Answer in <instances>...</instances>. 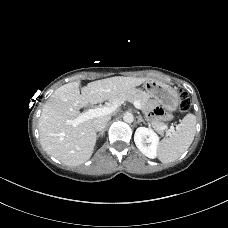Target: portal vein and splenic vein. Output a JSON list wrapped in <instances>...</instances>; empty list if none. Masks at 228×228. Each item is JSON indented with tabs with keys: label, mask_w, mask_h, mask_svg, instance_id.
Wrapping results in <instances>:
<instances>
[{
	"label": "portal vein and splenic vein",
	"mask_w": 228,
	"mask_h": 228,
	"mask_svg": "<svg viewBox=\"0 0 228 228\" xmlns=\"http://www.w3.org/2000/svg\"><path fill=\"white\" fill-rule=\"evenodd\" d=\"M120 105L119 102H114L111 106H105V107H100V108H95V109H89L85 113L79 115L77 118L73 120H67L66 124H70L74 127L78 126L79 124L93 118L109 115L113 113L118 106ZM133 105L137 108H141V104L138 101H134Z\"/></svg>",
	"instance_id": "1"
}]
</instances>
